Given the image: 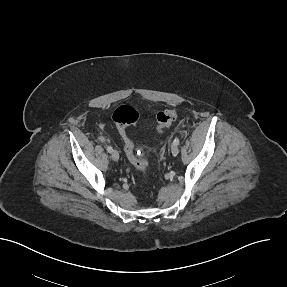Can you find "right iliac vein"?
<instances>
[{
	"mask_svg": "<svg viewBox=\"0 0 287 287\" xmlns=\"http://www.w3.org/2000/svg\"><path fill=\"white\" fill-rule=\"evenodd\" d=\"M111 158H112L114 161H118V160H119V153H118V151L112 150V152H111Z\"/></svg>",
	"mask_w": 287,
	"mask_h": 287,
	"instance_id": "1",
	"label": "right iliac vein"
}]
</instances>
